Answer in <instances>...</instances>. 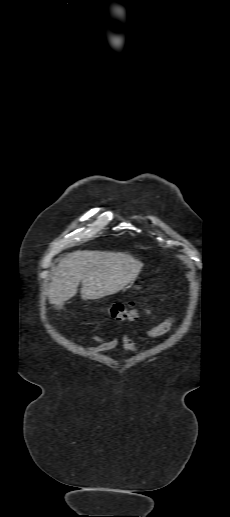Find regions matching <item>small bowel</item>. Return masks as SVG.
Here are the masks:
<instances>
[{"instance_id":"small-bowel-1","label":"small bowel","mask_w":230,"mask_h":517,"mask_svg":"<svg viewBox=\"0 0 230 517\" xmlns=\"http://www.w3.org/2000/svg\"><path fill=\"white\" fill-rule=\"evenodd\" d=\"M174 323H175L174 317H171V316L166 317L160 323L150 326L147 330V335L149 337L161 336V335L167 333L171 329V327ZM93 339L99 343V346L89 347V350H92V351H108V350L115 348L119 343V340L117 338L108 339V338L100 337L98 335H93ZM123 346H124V349L129 353H134L136 351V347H135L133 341L129 337L124 338Z\"/></svg>"}]
</instances>
